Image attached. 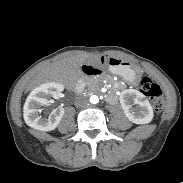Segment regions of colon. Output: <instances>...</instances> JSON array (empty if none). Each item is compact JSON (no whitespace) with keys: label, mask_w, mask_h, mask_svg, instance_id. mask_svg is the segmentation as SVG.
I'll use <instances>...</instances> for the list:
<instances>
[{"label":"colon","mask_w":183,"mask_h":183,"mask_svg":"<svg viewBox=\"0 0 183 183\" xmlns=\"http://www.w3.org/2000/svg\"><path fill=\"white\" fill-rule=\"evenodd\" d=\"M141 91L150 98L154 111L160 113L164 107V96L161 87L151 78L144 77L141 81Z\"/></svg>","instance_id":"1"}]
</instances>
